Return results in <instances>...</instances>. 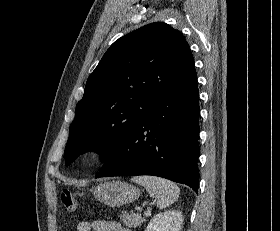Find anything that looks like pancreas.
Returning <instances> with one entry per match:
<instances>
[{"label":"pancreas","instance_id":"obj_1","mask_svg":"<svg viewBox=\"0 0 280 231\" xmlns=\"http://www.w3.org/2000/svg\"><path fill=\"white\" fill-rule=\"evenodd\" d=\"M120 219H122L127 227H132V225L136 227V225H140L143 221H147V219L139 215V213H127V211H123L122 215H120Z\"/></svg>","mask_w":280,"mask_h":231}]
</instances>
